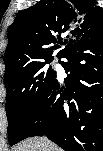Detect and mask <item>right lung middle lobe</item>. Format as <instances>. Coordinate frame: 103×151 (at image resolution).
<instances>
[{"label":"right lung middle lobe","mask_w":103,"mask_h":151,"mask_svg":"<svg viewBox=\"0 0 103 151\" xmlns=\"http://www.w3.org/2000/svg\"><path fill=\"white\" fill-rule=\"evenodd\" d=\"M53 59L31 64L5 80L7 87L8 139L11 145L20 141L26 125L39 107L56 71L46 68Z\"/></svg>","instance_id":"obj_1"}]
</instances>
